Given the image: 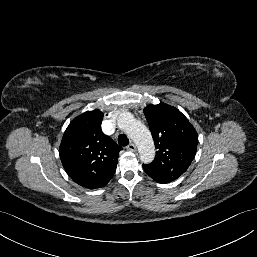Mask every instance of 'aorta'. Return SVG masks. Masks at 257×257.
Listing matches in <instances>:
<instances>
[{
    "mask_svg": "<svg viewBox=\"0 0 257 257\" xmlns=\"http://www.w3.org/2000/svg\"><path fill=\"white\" fill-rule=\"evenodd\" d=\"M118 126L126 131L131 139L136 143L143 163H150L155 157V147L153 138L147 127L137 121L129 112L120 114Z\"/></svg>",
    "mask_w": 257,
    "mask_h": 257,
    "instance_id": "obj_1",
    "label": "aorta"
}]
</instances>
